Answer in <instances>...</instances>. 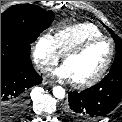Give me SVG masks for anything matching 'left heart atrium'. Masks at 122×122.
<instances>
[{
	"instance_id": "1",
	"label": "left heart atrium",
	"mask_w": 122,
	"mask_h": 122,
	"mask_svg": "<svg viewBox=\"0 0 122 122\" xmlns=\"http://www.w3.org/2000/svg\"><path fill=\"white\" fill-rule=\"evenodd\" d=\"M53 75L61 78V79H66V80H71L70 78V74L68 69L66 68L65 65L60 66L59 68H57L54 72Z\"/></svg>"
}]
</instances>
